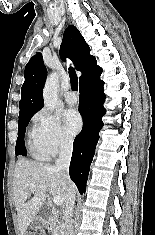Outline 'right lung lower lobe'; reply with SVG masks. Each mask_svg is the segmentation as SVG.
<instances>
[{"label": "right lung lower lobe", "instance_id": "obj_1", "mask_svg": "<svg viewBox=\"0 0 155 235\" xmlns=\"http://www.w3.org/2000/svg\"><path fill=\"white\" fill-rule=\"evenodd\" d=\"M100 75L84 81L79 87L83 128L74 140L69 173L80 194L86 191L90 164L99 140V131L103 127L102 116L106 113L103 107L106 98L104 82L100 80Z\"/></svg>", "mask_w": 155, "mask_h": 235}]
</instances>
